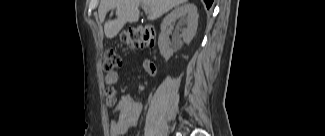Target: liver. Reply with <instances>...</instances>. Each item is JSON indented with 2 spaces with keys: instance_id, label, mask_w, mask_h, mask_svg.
Segmentation results:
<instances>
[{
  "instance_id": "liver-1",
  "label": "liver",
  "mask_w": 325,
  "mask_h": 136,
  "mask_svg": "<svg viewBox=\"0 0 325 136\" xmlns=\"http://www.w3.org/2000/svg\"><path fill=\"white\" fill-rule=\"evenodd\" d=\"M186 0H101L98 14L100 22L103 23L107 13L116 9L117 18L106 21L104 32L107 38H114L123 26L129 22H137L139 19V5H147L148 20H155L168 12L173 7L184 3Z\"/></svg>"
}]
</instances>
